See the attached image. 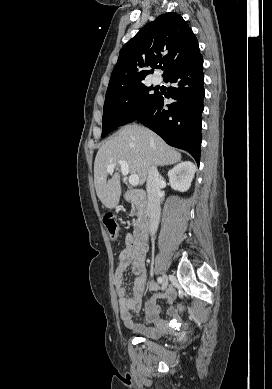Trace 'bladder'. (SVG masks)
<instances>
[{"label":"bladder","instance_id":"obj_1","mask_svg":"<svg viewBox=\"0 0 272 389\" xmlns=\"http://www.w3.org/2000/svg\"><path fill=\"white\" fill-rule=\"evenodd\" d=\"M165 335L163 331L160 330H155L153 334L148 335L149 338L151 339H160Z\"/></svg>","mask_w":272,"mask_h":389}]
</instances>
